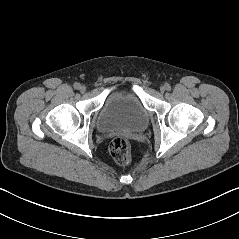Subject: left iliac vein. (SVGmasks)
<instances>
[{
    "label": "left iliac vein",
    "mask_w": 239,
    "mask_h": 239,
    "mask_svg": "<svg viewBox=\"0 0 239 239\" xmlns=\"http://www.w3.org/2000/svg\"><path fill=\"white\" fill-rule=\"evenodd\" d=\"M165 90H166V87H165V86H161V87H160V92H161V93H164Z\"/></svg>",
    "instance_id": "4c4485c4"
}]
</instances>
